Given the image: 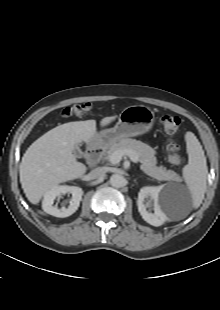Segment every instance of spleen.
Wrapping results in <instances>:
<instances>
[{
    "mask_svg": "<svg viewBox=\"0 0 220 310\" xmlns=\"http://www.w3.org/2000/svg\"><path fill=\"white\" fill-rule=\"evenodd\" d=\"M185 139L189 160L183 168V177L191 193L192 206L197 209L204 199L208 168L204 151L196 136L187 132Z\"/></svg>",
    "mask_w": 220,
    "mask_h": 310,
    "instance_id": "obj_1",
    "label": "spleen"
}]
</instances>
